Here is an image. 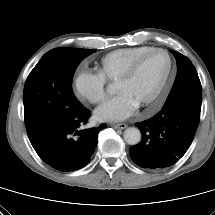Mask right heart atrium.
Instances as JSON below:
<instances>
[{
	"label": "right heart atrium",
	"mask_w": 215,
	"mask_h": 215,
	"mask_svg": "<svg viewBox=\"0 0 215 215\" xmlns=\"http://www.w3.org/2000/svg\"><path fill=\"white\" fill-rule=\"evenodd\" d=\"M75 95L91 104L102 102L106 97V80L99 72L80 70L73 82Z\"/></svg>",
	"instance_id": "right-heart-atrium-1"
}]
</instances>
